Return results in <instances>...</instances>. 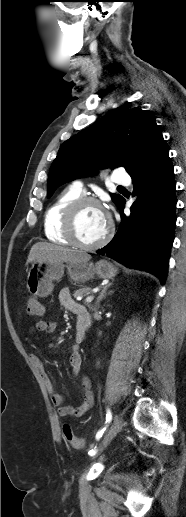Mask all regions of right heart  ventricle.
I'll use <instances>...</instances> for the list:
<instances>
[{
    "mask_svg": "<svg viewBox=\"0 0 186 517\" xmlns=\"http://www.w3.org/2000/svg\"><path fill=\"white\" fill-rule=\"evenodd\" d=\"M81 196V192L74 187H68L48 206L44 215V233L48 240L59 244H71L64 232V215L68 206Z\"/></svg>",
    "mask_w": 186,
    "mask_h": 517,
    "instance_id": "obj_1",
    "label": "right heart ventricle"
}]
</instances>
